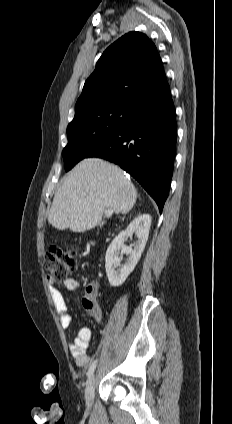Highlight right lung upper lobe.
Masks as SVG:
<instances>
[{"label":"right lung upper lobe","mask_w":232,"mask_h":424,"mask_svg":"<svg viewBox=\"0 0 232 424\" xmlns=\"http://www.w3.org/2000/svg\"><path fill=\"white\" fill-rule=\"evenodd\" d=\"M166 80L155 44L143 33L130 32L110 45L86 80L75 114L98 105L132 106Z\"/></svg>","instance_id":"cb5924a9"}]
</instances>
